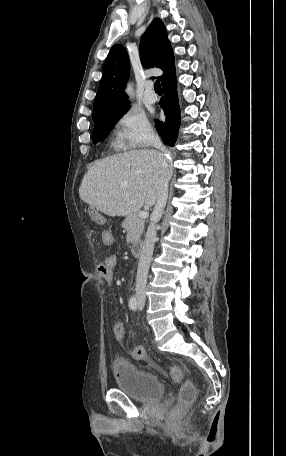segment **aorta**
Returning <instances> with one entry per match:
<instances>
[{"instance_id":"762f6f07","label":"aorta","mask_w":286,"mask_h":456,"mask_svg":"<svg viewBox=\"0 0 286 456\" xmlns=\"http://www.w3.org/2000/svg\"><path fill=\"white\" fill-rule=\"evenodd\" d=\"M127 92L131 94L132 92V87L129 85L128 88H127Z\"/></svg>"}]
</instances>
